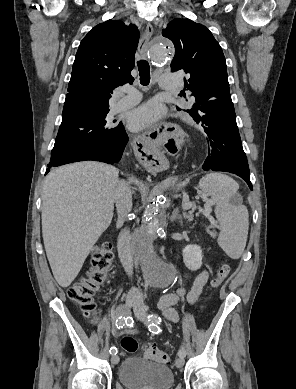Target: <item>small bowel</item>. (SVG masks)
<instances>
[{"mask_svg":"<svg viewBox=\"0 0 296 389\" xmlns=\"http://www.w3.org/2000/svg\"><path fill=\"white\" fill-rule=\"evenodd\" d=\"M208 278V271L202 270L194 279L189 290L179 288L176 292L165 295L160 300L159 307L163 310L170 321L177 322L179 320V316L173 307L183 298H185L190 304H193L200 296Z\"/></svg>","mask_w":296,"mask_h":389,"instance_id":"obj_1","label":"small bowel"}]
</instances>
